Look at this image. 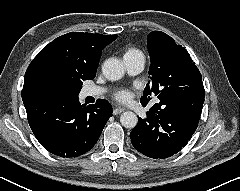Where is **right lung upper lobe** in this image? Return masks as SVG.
I'll return each instance as SVG.
<instances>
[{
    "label": "right lung upper lobe",
    "mask_w": 240,
    "mask_h": 191,
    "mask_svg": "<svg viewBox=\"0 0 240 191\" xmlns=\"http://www.w3.org/2000/svg\"><path fill=\"white\" fill-rule=\"evenodd\" d=\"M117 35L70 32L45 46L30 63L24 79L22 99L44 96L52 82L74 84L93 79L101 50Z\"/></svg>",
    "instance_id": "right-lung-upper-lobe-1"
}]
</instances>
